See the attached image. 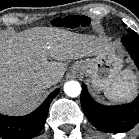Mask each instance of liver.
I'll use <instances>...</instances> for the list:
<instances>
[{
	"instance_id": "liver-1",
	"label": "liver",
	"mask_w": 139,
	"mask_h": 139,
	"mask_svg": "<svg viewBox=\"0 0 139 139\" xmlns=\"http://www.w3.org/2000/svg\"><path fill=\"white\" fill-rule=\"evenodd\" d=\"M100 39L54 27H38L24 35H0V112L23 113L39 102L42 77L58 83L64 62L96 55ZM48 57L56 61H48Z\"/></svg>"
}]
</instances>
